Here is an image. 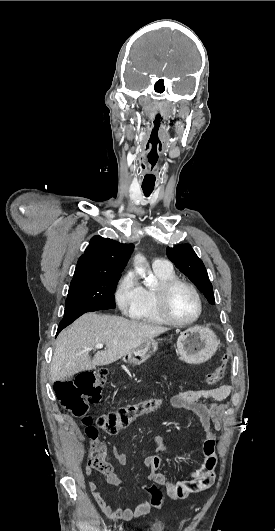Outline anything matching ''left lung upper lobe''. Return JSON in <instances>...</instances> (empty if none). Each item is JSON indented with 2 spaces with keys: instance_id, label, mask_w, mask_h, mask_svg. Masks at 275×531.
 Segmentation results:
<instances>
[{
  "instance_id": "left-lung-upper-lobe-1",
  "label": "left lung upper lobe",
  "mask_w": 275,
  "mask_h": 531,
  "mask_svg": "<svg viewBox=\"0 0 275 531\" xmlns=\"http://www.w3.org/2000/svg\"><path fill=\"white\" fill-rule=\"evenodd\" d=\"M168 258L184 273L204 294L210 304H215L212 284L206 268L189 244H179L167 248Z\"/></svg>"
}]
</instances>
